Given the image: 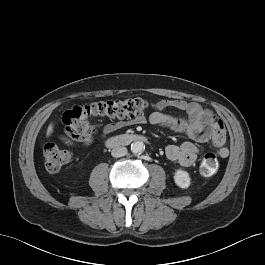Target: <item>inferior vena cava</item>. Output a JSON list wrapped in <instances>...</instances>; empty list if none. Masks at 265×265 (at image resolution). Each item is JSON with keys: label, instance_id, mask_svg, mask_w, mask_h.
I'll list each match as a JSON object with an SVG mask.
<instances>
[{"label": "inferior vena cava", "instance_id": "inferior-vena-cava-1", "mask_svg": "<svg viewBox=\"0 0 265 265\" xmlns=\"http://www.w3.org/2000/svg\"><path fill=\"white\" fill-rule=\"evenodd\" d=\"M126 154H127V148L123 146H117L113 148L111 151V155L116 158L125 156Z\"/></svg>", "mask_w": 265, "mask_h": 265}]
</instances>
